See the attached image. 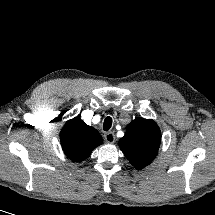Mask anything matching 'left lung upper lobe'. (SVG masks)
I'll use <instances>...</instances> for the list:
<instances>
[{"label": "left lung upper lobe", "mask_w": 215, "mask_h": 215, "mask_svg": "<svg viewBox=\"0 0 215 215\" xmlns=\"http://www.w3.org/2000/svg\"><path fill=\"white\" fill-rule=\"evenodd\" d=\"M161 142L158 125L150 119H135L119 140L124 155L136 169H143L156 157Z\"/></svg>", "instance_id": "obj_1"}]
</instances>
